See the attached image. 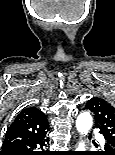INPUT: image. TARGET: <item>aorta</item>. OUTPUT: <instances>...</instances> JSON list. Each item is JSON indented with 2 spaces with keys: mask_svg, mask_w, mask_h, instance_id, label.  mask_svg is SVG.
<instances>
[{
  "mask_svg": "<svg viewBox=\"0 0 115 155\" xmlns=\"http://www.w3.org/2000/svg\"><path fill=\"white\" fill-rule=\"evenodd\" d=\"M93 120L92 116L88 112H82L79 114L76 120V127L77 130L83 134L86 135L88 131L92 128ZM85 150V143L79 142L77 151H84Z\"/></svg>",
  "mask_w": 115,
  "mask_h": 155,
  "instance_id": "obj_1",
  "label": "aorta"
}]
</instances>
